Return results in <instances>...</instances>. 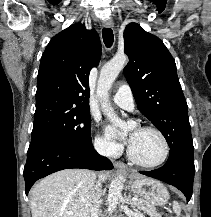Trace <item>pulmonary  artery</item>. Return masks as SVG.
I'll list each match as a JSON object with an SVG mask.
<instances>
[{
	"label": "pulmonary artery",
	"mask_w": 211,
	"mask_h": 217,
	"mask_svg": "<svg viewBox=\"0 0 211 217\" xmlns=\"http://www.w3.org/2000/svg\"><path fill=\"white\" fill-rule=\"evenodd\" d=\"M115 105L127 111L134 110V99L131 88L128 84H122L118 87L112 98Z\"/></svg>",
	"instance_id": "1"
}]
</instances>
